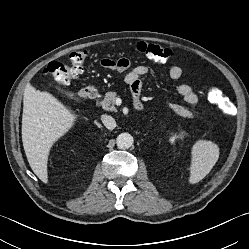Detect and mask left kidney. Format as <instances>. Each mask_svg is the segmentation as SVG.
<instances>
[{
	"mask_svg": "<svg viewBox=\"0 0 249 249\" xmlns=\"http://www.w3.org/2000/svg\"><path fill=\"white\" fill-rule=\"evenodd\" d=\"M183 137V135H180V136H172L170 139H169V141H170V143H174L175 142V140L177 139V138H182Z\"/></svg>",
	"mask_w": 249,
	"mask_h": 249,
	"instance_id": "5707ae66",
	"label": "left kidney"
}]
</instances>
